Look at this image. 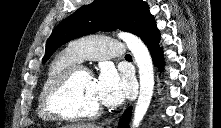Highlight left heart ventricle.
I'll use <instances>...</instances> for the list:
<instances>
[{"label":"left heart ventricle","mask_w":221,"mask_h":128,"mask_svg":"<svg viewBox=\"0 0 221 128\" xmlns=\"http://www.w3.org/2000/svg\"><path fill=\"white\" fill-rule=\"evenodd\" d=\"M60 105L72 112H89L100 107L92 77L86 72L78 73L60 99Z\"/></svg>","instance_id":"left-heart-ventricle-1"}]
</instances>
